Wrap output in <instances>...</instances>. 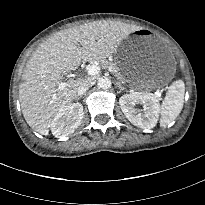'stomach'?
<instances>
[{
  "label": "stomach",
  "instance_id": "0dacf381",
  "mask_svg": "<svg viewBox=\"0 0 205 205\" xmlns=\"http://www.w3.org/2000/svg\"><path fill=\"white\" fill-rule=\"evenodd\" d=\"M115 59L123 79L140 89L160 85L175 67L163 40L145 28L122 40L115 51Z\"/></svg>",
  "mask_w": 205,
  "mask_h": 205
}]
</instances>
